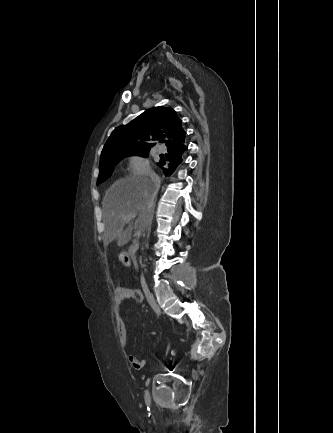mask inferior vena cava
Listing matches in <instances>:
<instances>
[{"mask_svg": "<svg viewBox=\"0 0 333 433\" xmlns=\"http://www.w3.org/2000/svg\"><path fill=\"white\" fill-rule=\"evenodd\" d=\"M149 177H150V180H151L152 183H153V194H152V200L154 201V199H155V197H156V195H157V193H158V191H159L160 184H161V180H160L159 176L156 175L154 172H151V173L149 174ZM153 309H154V311L156 312L157 315H160V314H161V313H160V310H159V308H158L157 306L153 307Z\"/></svg>", "mask_w": 333, "mask_h": 433, "instance_id": "1", "label": "inferior vena cava"}]
</instances>
